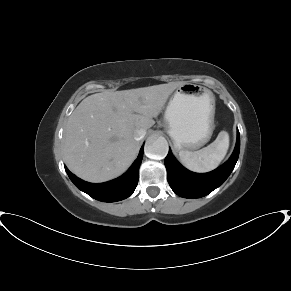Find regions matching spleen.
<instances>
[{
    "instance_id": "3e777b00",
    "label": "spleen",
    "mask_w": 291,
    "mask_h": 291,
    "mask_svg": "<svg viewBox=\"0 0 291 291\" xmlns=\"http://www.w3.org/2000/svg\"><path fill=\"white\" fill-rule=\"evenodd\" d=\"M229 148V134L221 131L216 140L207 147L190 152L181 150L179 157L182 164L189 170L197 173H206L219 166Z\"/></svg>"
}]
</instances>
